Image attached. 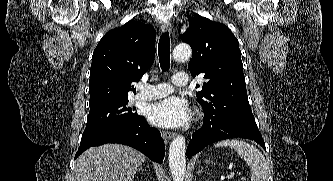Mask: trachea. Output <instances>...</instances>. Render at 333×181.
I'll use <instances>...</instances> for the list:
<instances>
[{
    "label": "trachea",
    "instance_id": "1",
    "mask_svg": "<svg viewBox=\"0 0 333 181\" xmlns=\"http://www.w3.org/2000/svg\"><path fill=\"white\" fill-rule=\"evenodd\" d=\"M158 54L162 71H167L170 67V38L168 32L163 33L160 37Z\"/></svg>",
    "mask_w": 333,
    "mask_h": 181
}]
</instances>
